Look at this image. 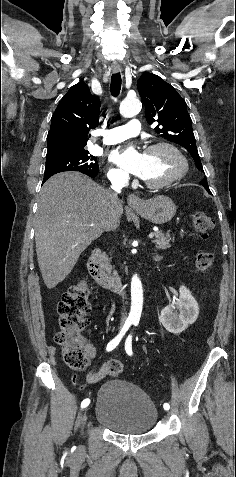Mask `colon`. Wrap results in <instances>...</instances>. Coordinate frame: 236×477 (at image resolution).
I'll return each instance as SVG.
<instances>
[{
	"label": "colon",
	"instance_id": "obj_1",
	"mask_svg": "<svg viewBox=\"0 0 236 477\" xmlns=\"http://www.w3.org/2000/svg\"><path fill=\"white\" fill-rule=\"evenodd\" d=\"M213 225L212 218L206 213H194V231L201 238L208 235ZM213 261V253H199L195 261L198 272L203 276L206 275ZM89 295L88 284L79 281L63 294L57 305L59 331L55 335V341L62 348L65 364L76 371H82L88 366V354L82 339V332L87 325V314L91 308ZM123 367V362L119 359H111L108 362L109 374L113 377L121 374Z\"/></svg>",
	"mask_w": 236,
	"mask_h": 477
}]
</instances>
